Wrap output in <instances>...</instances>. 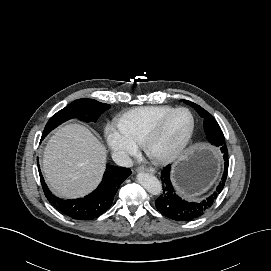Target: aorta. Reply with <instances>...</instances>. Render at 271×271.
<instances>
[{
	"mask_svg": "<svg viewBox=\"0 0 271 271\" xmlns=\"http://www.w3.org/2000/svg\"><path fill=\"white\" fill-rule=\"evenodd\" d=\"M138 183L150 194L160 195L162 193V184L154 175L146 172L137 174Z\"/></svg>",
	"mask_w": 271,
	"mask_h": 271,
	"instance_id": "762f6f07",
	"label": "aorta"
}]
</instances>
